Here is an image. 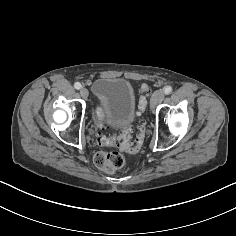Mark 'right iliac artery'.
<instances>
[{"mask_svg":"<svg viewBox=\"0 0 236 236\" xmlns=\"http://www.w3.org/2000/svg\"><path fill=\"white\" fill-rule=\"evenodd\" d=\"M74 87L78 90V89H80L82 86H81V84H80L79 82H76V83L74 84Z\"/></svg>","mask_w":236,"mask_h":236,"instance_id":"82829eb1","label":"right iliac artery"}]
</instances>
